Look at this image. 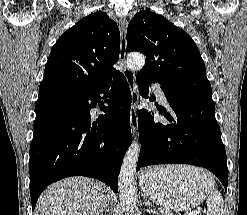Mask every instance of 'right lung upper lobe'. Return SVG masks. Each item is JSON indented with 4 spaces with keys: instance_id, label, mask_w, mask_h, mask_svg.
Listing matches in <instances>:
<instances>
[{
    "instance_id": "right-lung-upper-lobe-1",
    "label": "right lung upper lobe",
    "mask_w": 247,
    "mask_h": 215,
    "mask_svg": "<svg viewBox=\"0 0 247 215\" xmlns=\"http://www.w3.org/2000/svg\"><path fill=\"white\" fill-rule=\"evenodd\" d=\"M120 32L106 13L81 19L55 43L42 83L90 88L112 75L119 59Z\"/></svg>"
}]
</instances>
